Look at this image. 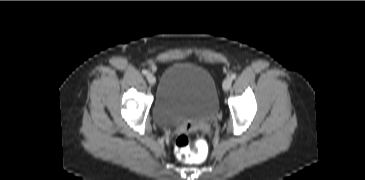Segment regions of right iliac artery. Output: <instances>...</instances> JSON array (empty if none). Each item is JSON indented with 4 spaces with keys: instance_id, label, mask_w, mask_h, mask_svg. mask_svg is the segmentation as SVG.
<instances>
[{
    "instance_id": "1",
    "label": "right iliac artery",
    "mask_w": 365,
    "mask_h": 180,
    "mask_svg": "<svg viewBox=\"0 0 365 180\" xmlns=\"http://www.w3.org/2000/svg\"><path fill=\"white\" fill-rule=\"evenodd\" d=\"M142 73H143L144 75H147V74H148V71H147V70H145V69H143V70H142Z\"/></svg>"
}]
</instances>
